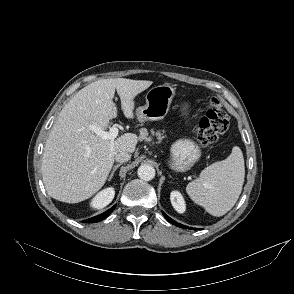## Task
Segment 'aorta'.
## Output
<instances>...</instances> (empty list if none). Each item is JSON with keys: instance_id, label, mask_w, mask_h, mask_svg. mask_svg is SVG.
<instances>
[{"instance_id": "obj_1", "label": "aorta", "mask_w": 294, "mask_h": 294, "mask_svg": "<svg viewBox=\"0 0 294 294\" xmlns=\"http://www.w3.org/2000/svg\"><path fill=\"white\" fill-rule=\"evenodd\" d=\"M137 174L140 179L150 181L155 177V169L149 164H143L138 168Z\"/></svg>"}]
</instances>
